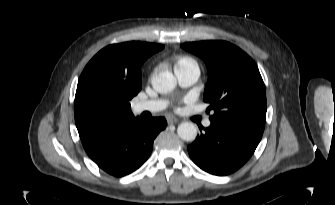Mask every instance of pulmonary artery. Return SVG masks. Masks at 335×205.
Wrapping results in <instances>:
<instances>
[{"mask_svg": "<svg viewBox=\"0 0 335 205\" xmlns=\"http://www.w3.org/2000/svg\"><path fill=\"white\" fill-rule=\"evenodd\" d=\"M174 71L179 83L184 87L194 84L198 80L200 75L199 67L196 65L175 67ZM166 105L167 103L163 100L141 101L135 105V110L138 113L144 111L155 113L163 110ZM203 124L205 127H209L211 121L209 119H206Z\"/></svg>", "mask_w": 335, "mask_h": 205, "instance_id": "1", "label": "pulmonary artery"}]
</instances>
